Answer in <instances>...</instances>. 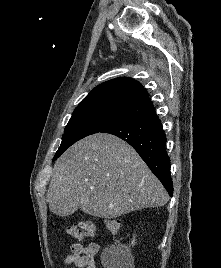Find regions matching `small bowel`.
Instances as JSON below:
<instances>
[{"label":"small bowel","instance_id":"obj_1","mask_svg":"<svg viewBox=\"0 0 221 268\" xmlns=\"http://www.w3.org/2000/svg\"><path fill=\"white\" fill-rule=\"evenodd\" d=\"M98 251L99 245L96 242L87 245L75 243L70 247L64 262L79 268H96L94 257Z\"/></svg>","mask_w":221,"mask_h":268}]
</instances>
